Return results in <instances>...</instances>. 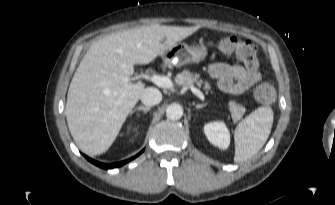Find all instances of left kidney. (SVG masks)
<instances>
[{"label":"left kidney","mask_w":335,"mask_h":205,"mask_svg":"<svg viewBox=\"0 0 335 205\" xmlns=\"http://www.w3.org/2000/svg\"><path fill=\"white\" fill-rule=\"evenodd\" d=\"M204 133L209 142L220 149H227L230 144V131L222 121L207 123L204 126Z\"/></svg>","instance_id":"obj_1"}]
</instances>
